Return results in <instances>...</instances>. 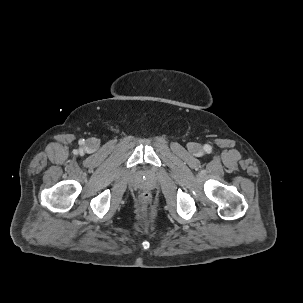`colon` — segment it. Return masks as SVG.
I'll return each instance as SVG.
<instances>
[{
	"instance_id": "5ec220e1",
	"label": "colon",
	"mask_w": 303,
	"mask_h": 303,
	"mask_svg": "<svg viewBox=\"0 0 303 303\" xmlns=\"http://www.w3.org/2000/svg\"><path fill=\"white\" fill-rule=\"evenodd\" d=\"M142 202L144 205H148L150 203V195L148 193L142 194Z\"/></svg>"
}]
</instances>
